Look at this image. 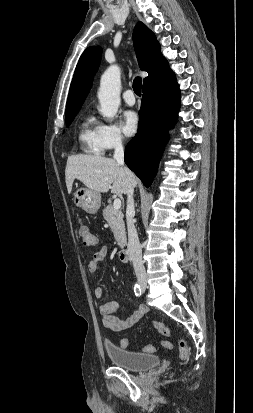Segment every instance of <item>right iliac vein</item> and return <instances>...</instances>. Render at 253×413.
I'll list each match as a JSON object with an SVG mask.
<instances>
[{
  "mask_svg": "<svg viewBox=\"0 0 253 413\" xmlns=\"http://www.w3.org/2000/svg\"><path fill=\"white\" fill-rule=\"evenodd\" d=\"M140 285H141L142 288H145L146 287V282L144 280H141Z\"/></svg>",
  "mask_w": 253,
  "mask_h": 413,
  "instance_id": "obj_1",
  "label": "right iliac vein"
}]
</instances>
